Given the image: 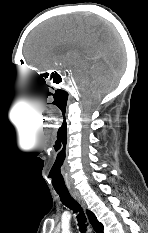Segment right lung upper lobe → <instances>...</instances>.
<instances>
[{"label":"right lung upper lobe","instance_id":"1","mask_svg":"<svg viewBox=\"0 0 148 233\" xmlns=\"http://www.w3.org/2000/svg\"><path fill=\"white\" fill-rule=\"evenodd\" d=\"M86 213L94 233H103V225L97 220L96 216L89 210Z\"/></svg>","mask_w":148,"mask_h":233}]
</instances>
